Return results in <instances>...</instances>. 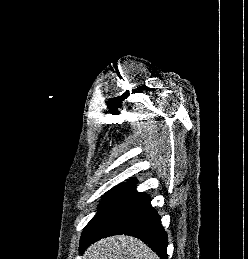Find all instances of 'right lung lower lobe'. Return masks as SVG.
<instances>
[{
  "label": "right lung lower lobe",
  "instance_id": "right-lung-lower-lobe-1",
  "mask_svg": "<svg viewBox=\"0 0 248 259\" xmlns=\"http://www.w3.org/2000/svg\"><path fill=\"white\" fill-rule=\"evenodd\" d=\"M129 235L148 244L161 259L167 256V234L159 215L150 204V197L133 186L107 212L98 225L80 240L82 253L90 244L112 235Z\"/></svg>",
  "mask_w": 248,
  "mask_h": 259
}]
</instances>
